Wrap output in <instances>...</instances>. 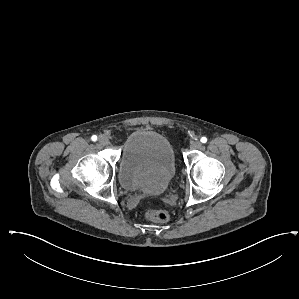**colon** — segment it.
Returning <instances> with one entry per match:
<instances>
[{
	"label": "colon",
	"instance_id": "colon-1",
	"mask_svg": "<svg viewBox=\"0 0 299 299\" xmlns=\"http://www.w3.org/2000/svg\"><path fill=\"white\" fill-rule=\"evenodd\" d=\"M145 217L155 223L164 224L169 221V214L164 210L150 209L145 213Z\"/></svg>",
	"mask_w": 299,
	"mask_h": 299
}]
</instances>
